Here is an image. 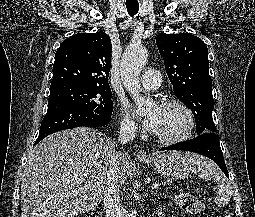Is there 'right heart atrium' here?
I'll return each mask as SVG.
<instances>
[{
    "label": "right heart atrium",
    "mask_w": 255,
    "mask_h": 217,
    "mask_svg": "<svg viewBox=\"0 0 255 217\" xmlns=\"http://www.w3.org/2000/svg\"><path fill=\"white\" fill-rule=\"evenodd\" d=\"M120 127H121V131L127 135H134L137 131L136 123L132 119L129 112L125 109H123V111H122Z\"/></svg>",
    "instance_id": "d8ad5b80"
}]
</instances>
